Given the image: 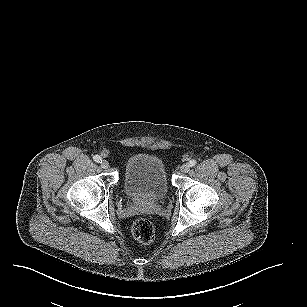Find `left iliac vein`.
I'll use <instances>...</instances> for the list:
<instances>
[{
	"label": "left iliac vein",
	"instance_id": "obj_1",
	"mask_svg": "<svg viewBox=\"0 0 307 307\" xmlns=\"http://www.w3.org/2000/svg\"><path fill=\"white\" fill-rule=\"evenodd\" d=\"M189 170H190L189 164H182V165L180 166V171H181L182 173H187Z\"/></svg>",
	"mask_w": 307,
	"mask_h": 307
}]
</instances>
